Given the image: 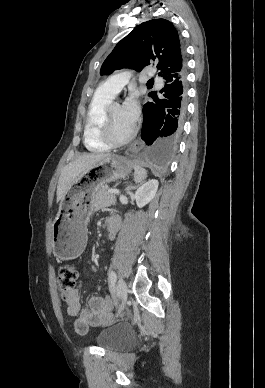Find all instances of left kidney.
<instances>
[{
  "mask_svg": "<svg viewBox=\"0 0 265 388\" xmlns=\"http://www.w3.org/2000/svg\"><path fill=\"white\" fill-rule=\"evenodd\" d=\"M158 186V180H148V182H145V184H142V186L138 188L135 194V200L138 208H143V206H146V204H149V202L153 200L158 190Z\"/></svg>",
  "mask_w": 265,
  "mask_h": 388,
  "instance_id": "1",
  "label": "left kidney"
}]
</instances>
